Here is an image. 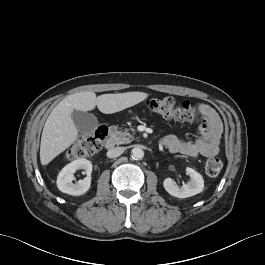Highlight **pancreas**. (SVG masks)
<instances>
[{
  "label": "pancreas",
  "mask_w": 265,
  "mask_h": 265,
  "mask_svg": "<svg viewBox=\"0 0 265 265\" xmlns=\"http://www.w3.org/2000/svg\"><path fill=\"white\" fill-rule=\"evenodd\" d=\"M134 140V137L127 131H117L114 136V141L117 145L128 144Z\"/></svg>",
  "instance_id": "1"
}]
</instances>
